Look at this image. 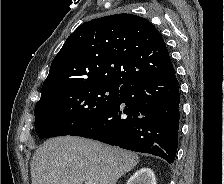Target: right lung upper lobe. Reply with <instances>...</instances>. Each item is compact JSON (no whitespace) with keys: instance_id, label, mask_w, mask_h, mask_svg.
<instances>
[{"instance_id":"1","label":"right lung upper lobe","mask_w":224,"mask_h":184,"mask_svg":"<svg viewBox=\"0 0 224 184\" xmlns=\"http://www.w3.org/2000/svg\"><path fill=\"white\" fill-rule=\"evenodd\" d=\"M173 69L161 34L147 19L110 15L83 23L67 38L52 61L39 102L82 83L124 85Z\"/></svg>"}]
</instances>
